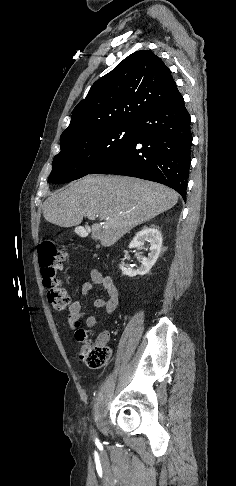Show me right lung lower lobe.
Segmentation results:
<instances>
[{
	"label": "right lung lower lobe",
	"instance_id": "98d812e1",
	"mask_svg": "<svg viewBox=\"0 0 236 486\" xmlns=\"http://www.w3.org/2000/svg\"><path fill=\"white\" fill-rule=\"evenodd\" d=\"M135 138L89 174H116L167 185L186 200L191 163L190 115L183 97L136 121Z\"/></svg>",
	"mask_w": 236,
	"mask_h": 486
}]
</instances>
